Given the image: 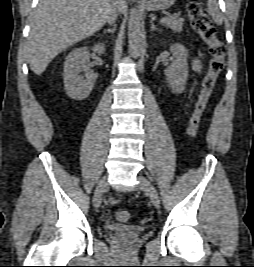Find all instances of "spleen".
I'll use <instances>...</instances> for the list:
<instances>
[{
    "label": "spleen",
    "mask_w": 254,
    "mask_h": 267,
    "mask_svg": "<svg viewBox=\"0 0 254 267\" xmlns=\"http://www.w3.org/2000/svg\"><path fill=\"white\" fill-rule=\"evenodd\" d=\"M207 6H208L207 11H208L209 15H211L214 22L217 25H221L223 22V16L218 9V4H217L216 0H208Z\"/></svg>",
    "instance_id": "3e777b00"
}]
</instances>
